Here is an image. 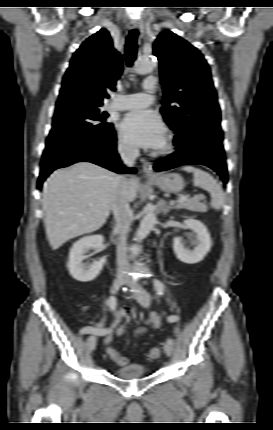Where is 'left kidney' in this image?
<instances>
[{
  "label": "left kidney",
  "instance_id": "1",
  "mask_svg": "<svg viewBox=\"0 0 273 430\" xmlns=\"http://www.w3.org/2000/svg\"><path fill=\"white\" fill-rule=\"evenodd\" d=\"M185 227L191 229L195 236L190 245L195 248L190 250L181 237L174 238L173 249L177 258L187 264H196L204 259L210 251L212 241L206 226L199 220L188 218L184 221Z\"/></svg>",
  "mask_w": 273,
  "mask_h": 430
}]
</instances>
